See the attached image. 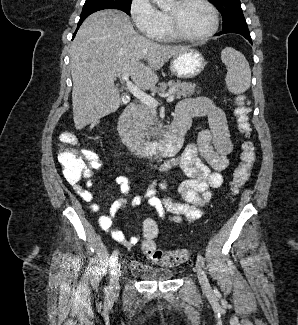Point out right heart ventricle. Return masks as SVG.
I'll use <instances>...</instances> for the list:
<instances>
[{
  "label": "right heart ventricle",
  "mask_w": 298,
  "mask_h": 325,
  "mask_svg": "<svg viewBox=\"0 0 298 325\" xmlns=\"http://www.w3.org/2000/svg\"><path fill=\"white\" fill-rule=\"evenodd\" d=\"M160 14H161V17H162V19L164 21V28L166 29V17H165V14H164V12H160ZM172 40L173 39L169 35L165 36V41L171 42Z\"/></svg>",
  "instance_id": "right-heart-ventricle-1"
}]
</instances>
